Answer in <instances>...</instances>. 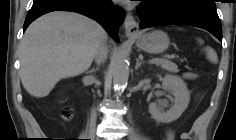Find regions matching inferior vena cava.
I'll use <instances>...</instances> for the list:
<instances>
[{"label": "inferior vena cava", "mask_w": 236, "mask_h": 140, "mask_svg": "<svg viewBox=\"0 0 236 140\" xmlns=\"http://www.w3.org/2000/svg\"><path fill=\"white\" fill-rule=\"evenodd\" d=\"M108 51L105 42L100 44L95 52V59L98 63L103 62L107 57Z\"/></svg>", "instance_id": "obj_1"}]
</instances>
